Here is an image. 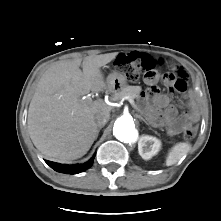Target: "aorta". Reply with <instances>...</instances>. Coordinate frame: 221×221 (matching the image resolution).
<instances>
[{"mask_svg": "<svg viewBox=\"0 0 221 221\" xmlns=\"http://www.w3.org/2000/svg\"><path fill=\"white\" fill-rule=\"evenodd\" d=\"M113 134L122 142L134 141L138 134L133 118L129 115L118 117L113 127Z\"/></svg>", "mask_w": 221, "mask_h": 221, "instance_id": "762f6f07", "label": "aorta"}]
</instances>
